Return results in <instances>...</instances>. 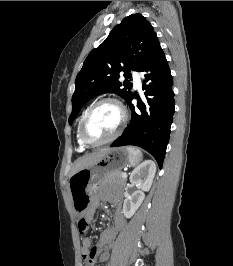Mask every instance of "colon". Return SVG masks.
Instances as JSON below:
<instances>
[{
    "instance_id": "1",
    "label": "colon",
    "mask_w": 233,
    "mask_h": 266,
    "mask_svg": "<svg viewBox=\"0 0 233 266\" xmlns=\"http://www.w3.org/2000/svg\"><path fill=\"white\" fill-rule=\"evenodd\" d=\"M78 228L81 233H85L88 229V222L85 218H81L78 222ZM87 262L89 263L91 261V256L86 257Z\"/></svg>"
}]
</instances>
